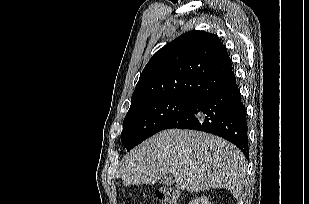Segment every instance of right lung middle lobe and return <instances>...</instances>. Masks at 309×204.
<instances>
[{
	"label": "right lung middle lobe",
	"instance_id": "obj_1",
	"mask_svg": "<svg viewBox=\"0 0 309 204\" xmlns=\"http://www.w3.org/2000/svg\"><path fill=\"white\" fill-rule=\"evenodd\" d=\"M198 100L188 97H160L131 105L121 133V140L127 151L165 129Z\"/></svg>",
	"mask_w": 309,
	"mask_h": 204
}]
</instances>
